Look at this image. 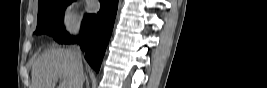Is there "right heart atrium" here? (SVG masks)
<instances>
[{"mask_svg":"<svg viewBox=\"0 0 267 88\" xmlns=\"http://www.w3.org/2000/svg\"><path fill=\"white\" fill-rule=\"evenodd\" d=\"M64 28L70 33H76L80 28V16L76 9L69 8L62 17Z\"/></svg>","mask_w":267,"mask_h":88,"instance_id":"right-heart-atrium-1","label":"right heart atrium"}]
</instances>
